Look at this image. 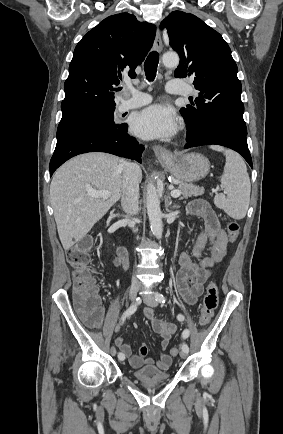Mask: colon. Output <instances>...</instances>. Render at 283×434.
<instances>
[{"label": "colon", "instance_id": "5ec220e1", "mask_svg": "<svg viewBox=\"0 0 283 434\" xmlns=\"http://www.w3.org/2000/svg\"><path fill=\"white\" fill-rule=\"evenodd\" d=\"M240 232L237 222L232 221L227 226V235L230 241H235ZM92 241L83 238L76 242L66 253V259L73 269V290L75 306L84 321L91 327H98L102 321V309L99 304V295L96 281L90 269ZM218 304V288L215 282H210L204 295L200 310L199 323L202 326L209 324ZM179 349L172 347L171 356H177Z\"/></svg>", "mask_w": 283, "mask_h": 434}]
</instances>
